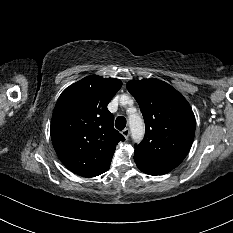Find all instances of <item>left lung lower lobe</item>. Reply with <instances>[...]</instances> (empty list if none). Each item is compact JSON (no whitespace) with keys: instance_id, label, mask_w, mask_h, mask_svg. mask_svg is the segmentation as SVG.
Listing matches in <instances>:
<instances>
[{"instance_id":"1","label":"left lung lower lobe","mask_w":233,"mask_h":233,"mask_svg":"<svg viewBox=\"0 0 233 233\" xmlns=\"http://www.w3.org/2000/svg\"><path fill=\"white\" fill-rule=\"evenodd\" d=\"M134 161L137 167L149 175H163L171 171L173 168L147 159L134 152Z\"/></svg>"}]
</instances>
